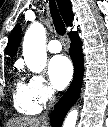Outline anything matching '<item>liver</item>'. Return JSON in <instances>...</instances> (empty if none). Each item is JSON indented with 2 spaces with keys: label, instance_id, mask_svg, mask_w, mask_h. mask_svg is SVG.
Returning <instances> with one entry per match:
<instances>
[{
  "label": "liver",
  "instance_id": "obj_1",
  "mask_svg": "<svg viewBox=\"0 0 108 127\" xmlns=\"http://www.w3.org/2000/svg\"><path fill=\"white\" fill-rule=\"evenodd\" d=\"M5 127H49V123L41 117H15L10 118Z\"/></svg>",
  "mask_w": 108,
  "mask_h": 127
}]
</instances>
